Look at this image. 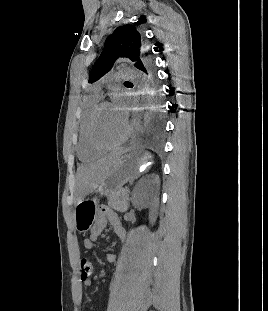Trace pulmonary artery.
I'll return each instance as SVG.
<instances>
[{"mask_svg":"<svg viewBox=\"0 0 268 311\" xmlns=\"http://www.w3.org/2000/svg\"><path fill=\"white\" fill-rule=\"evenodd\" d=\"M133 75H134V73H133V71L131 69H122V70H119L118 72L114 73L112 78L115 81H120L122 79L132 78ZM99 90H100L99 85H95L94 88H93V92L95 93L96 97H99V94H98Z\"/></svg>","mask_w":268,"mask_h":311,"instance_id":"obj_1","label":"pulmonary artery"}]
</instances>
